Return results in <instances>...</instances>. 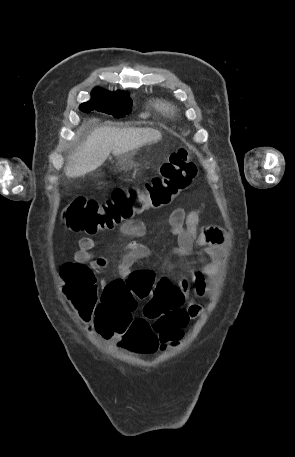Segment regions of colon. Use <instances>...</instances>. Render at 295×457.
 <instances>
[{
  "mask_svg": "<svg viewBox=\"0 0 295 457\" xmlns=\"http://www.w3.org/2000/svg\"><path fill=\"white\" fill-rule=\"evenodd\" d=\"M196 173L188 150L179 148L142 188H115L104 201L73 198L63 212L64 225L72 232L90 235L112 229L146 210L169 205L188 189ZM60 275L67 299L82 319H93L103 338H117L131 355H158L159 348L166 345L177 349L188 313L175 299L176 290L166 278L137 269L125 281L118 279L107 284L99 299L94 272L87 264L65 263ZM150 296L144 317L134 319L136 297Z\"/></svg>",
  "mask_w": 295,
  "mask_h": 457,
  "instance_id": "colon-1",
  "label": "colon"
}]
</instances>
